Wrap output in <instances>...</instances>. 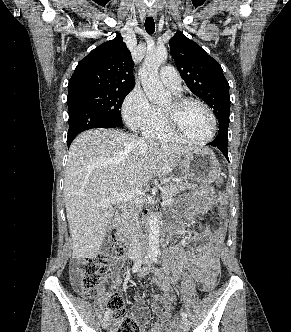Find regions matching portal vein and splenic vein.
Returning a JSON list of instances; mask_svg holds the SVG:
<instances>
[{
  "instance_id": "portal-vein-and-splenic-vein-1",
  "label": "portal vein and splenic vein",
  "mask_w": 291,
  "mask_h": 332,
  "mask_svg": "<svg viewBox=\"0 0 291 332\" xmlns=\"http://www.w3.org/2000/svg\"><path fill=\"white\" fill-rule=\"evenodd\" d=\"M144 196V192L142 190L136 189V190H129L124 191L119 194H116L112 196L110 199H108L105 204H117L121 202H128L131 200H140ZM172 202V199H166L162 202L161 205H168Z\"/></svg>"
}]
</instances>
